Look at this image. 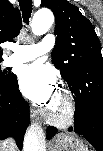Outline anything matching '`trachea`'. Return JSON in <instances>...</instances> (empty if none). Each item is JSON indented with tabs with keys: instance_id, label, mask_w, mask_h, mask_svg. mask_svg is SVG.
Segmentation results:
<instances>
[{
	"instance_id": "1",
	"label": "trachea",
	"mask_w": 103,
	"mask_h": 151,
	"mask_svg": "<svg viewBox=\"0 0 103 151\" xmlns=\"http://www.w3.org/2000/svg\"><path fill=\"white\" fill-rule=\"evenodd\" d=\"M19 4L22 11L24 22L28 23L32 12V0H19Z\"/></svg>"
}]
</instances>
